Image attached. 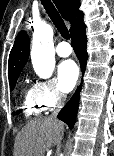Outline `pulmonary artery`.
<instances>
[{"mask_svg": "<svg viewBox=\"0 0 114 156\" xmlns=\"http://www.w3.org/2000/svg\"><path fill=\"white\" fill-rule=\"evenodd\" d=\"M56 53L60 57H68L72 53V48L67 42L62 41L56 46Z\"/></svg>", "mask_w": 114, "mask_h": 156, "instance_id": "e3ab8cb5", "label": "pulmonary artery"}]
</instances>
